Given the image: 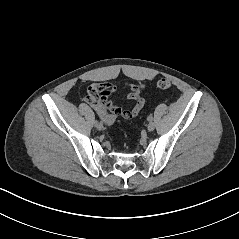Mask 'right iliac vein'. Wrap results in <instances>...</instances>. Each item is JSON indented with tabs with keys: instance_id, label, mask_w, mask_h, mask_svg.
Masks as SVG:
<instances>
[{
	"instance_id": "63e3f726",
	"label": "right iliac vein",
	"mask_w": 239,
	"mask_h": 239,
	"mask_svg": "<svg viewBox=\"0 0 239 239\" xmlns=\"http://www.w3.org/2000/svg\"><path fill=\"white\" fill-rule=\"evenodd\" d=\"M95 126H96V128H97L98 130H102V129H103V124H102V123H98V124H96Z\"/></svg>"
}]
</instances>
